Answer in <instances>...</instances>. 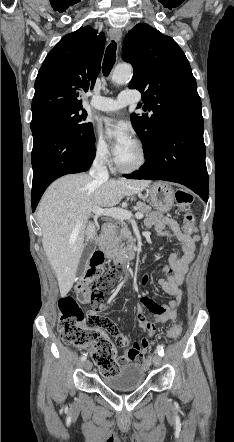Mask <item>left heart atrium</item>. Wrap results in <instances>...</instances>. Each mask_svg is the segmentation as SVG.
Instances as JSON below:
<instances>
[{"instance_id":"1","label":"left heart atrium","mask_w":234,"mask_h":442,"mask_svg":"<svg viewBox=\"0 0 234 442\" xmlns=\"http://www.w3.org/2000/svg\"><path fill=\"white\" fill-rule=\"evenodd\" d=\"M106 132L114 138V151L117 157L125 153L133 144L130 126L123 120L106 119Z\"/></svg>"}]
</instances>
